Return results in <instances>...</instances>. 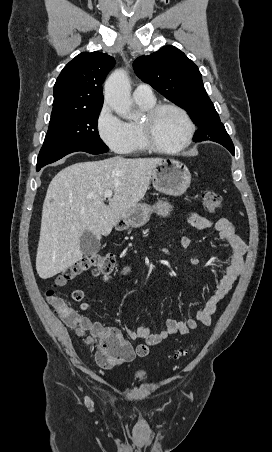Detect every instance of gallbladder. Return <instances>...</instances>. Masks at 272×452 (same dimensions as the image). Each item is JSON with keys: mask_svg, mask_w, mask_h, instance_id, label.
<instances>
[{"mask_svg": "<svg viewBox=\"0 0 272 452\" xmlns=\"http://www.w3.org/2000/svg\"><path fill=\"white\" fill-rule=\"evenodd\" d=\"M99 239L90 231L85 230L80 238V247L84 255L90 256L100 250Z\"/></svg>", "mask_w": 272, "mask_h": 452, "instance_id": "bac80fb5", "label": "gallbladder"}]
</instances>
